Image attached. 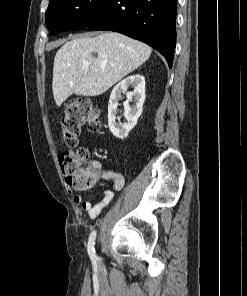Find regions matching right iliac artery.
Wrapping results in <instances>:
<instances>
[{"label":"right iliac artery","instance_id":"1","mask_svg":"<svg viewBox=\"0 0 247 296\" xmlns=\"http://www.w3.org/2000/svg\"><path fill=\"white\" fill-rule=\"evenodd\" d=\"M95 239H96V231L93 230L89 236L88 247H87L88 254H89L91 260L97 259V256L95 254V248H94Z\"/></svg>","mask_w":247,"mask_h":296}]
</instances>
